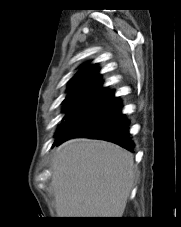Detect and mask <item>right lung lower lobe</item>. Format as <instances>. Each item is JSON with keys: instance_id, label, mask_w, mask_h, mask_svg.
Returning <instances> with one entry per match:
<instances>
[{"instance_id": "right-lung-lower-lobe-1", "label": "right lung lower lobe", "mask_w": 181, "mask_h": 227, "mask_svg": "<svg viewBox=\"0 0 181 227\" xmlns=\"http://www.w3.org/2000/svg\"><path fill=\"white\" fill-rule=\"evenodd\" d=\"M122 104L112 94L108 102L97 112L81 119L70 126L53 146L74 137L103 139L116 143L127 150L133 151L134 144L128 132V120L122 114Z\"/></svg>"}]
</instances>
